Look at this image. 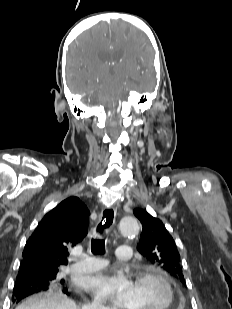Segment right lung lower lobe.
Returning <instances> with one entry per match:
<instances>
[{"instance_id": "1", "label": "right lung lower lobe", "mask_w": 232, "mask_h": 309, "mask_svg": "<svg viewBox=\"0 0 232 309\" xmlns=\"http://www.w3.org/2000/svg\"><path fill=\"white\" fill-rule=\"evenodd\" d=\"M48 287H44V286H41L39 285L38 282H35V281H31V282H26V283H23V282H16L15 283V286H14V289H13V301H20L21 299L31 295V294H34V293H38L40 291H44V290H47ZM63 293L69 295V291L67 289V287L63 286L60 288Z\"/></svg>"}]
</instances>
